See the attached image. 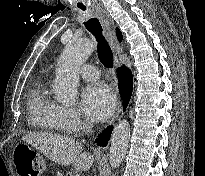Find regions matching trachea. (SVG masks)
<instances>
[{"instance_id": "3493384b", "label": "trachea", "mask_w": 205, "mask_h": 176, "mask_svg": "<svg viewBox=\"0 0 205 176\" xmlns=\"http://www.w3.org/2000/svg\"><path fill=\"white\" fill-rule=\"evenodd\" d=\"M85 11V10H83ZM85 27L87 30L93 34L97 41V49H98V57L102 64L107 67H112V59L113 53L111 48L106 41L105 37L103 36V29L101 23L96 18H89L87 21L84 22Z\"/></svg>"}]
</instances>
